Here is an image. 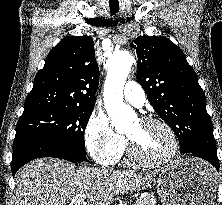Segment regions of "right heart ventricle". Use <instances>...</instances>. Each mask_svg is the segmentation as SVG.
Masks as SVG:
<instances>
[{
	"label": "right heart ventricle",
	"mask_w": 222,
	"mask_h": 205,
	"mask_svg": "<svg viewBox=\"0 0 222 205\" xmlns=\"http://www.w3.org/2000/svg\"><path fill=\"white\" fill-rule=\"evenodd\" d=\"M120 160H128V156H127V152H126V148L125 147L122 150V152L120 153V155L117 157V159L114 161V163H116V162H118Z\"/></svg>",
	"instance_id": "1"
}]
</instances>
